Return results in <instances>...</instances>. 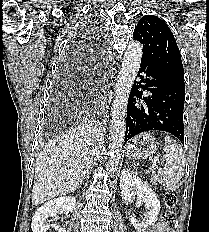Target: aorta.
Segmentation results:
<instances>
[{
	"mask_svg": "<svg viewBox=\"0 0 209 232\" xmlns=\"http://www.w3.org/2000/svg\"><path fill=\"white\" fill-rule=\"evenodd\" d=\"M142 58V45L139 42L129 43L124 55L122 68L116 84L115 99L112 105L110 138H109V170L114 173L120 163L122 145L126 130V110L130 90L138 73Z\"/></svg>",
	"mask_w": 209,
	"mask_h": 232,
	"instance_id": "1",
	"label": "aorta"
}]
</instances>
